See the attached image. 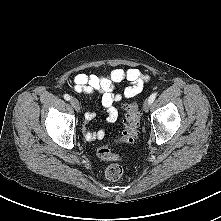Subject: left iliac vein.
I'll list each match as a JSON object with an SVG mask.
<instances>
[{
    "label": "left iliac vein",
    "instance_id": "left-iliac-vein-1",
    "mask_svg": "<svg viewBox=\"0 0 221 221\" xmlns=\"http://www.w3.org/2000/svg\"><path fill=\"white\" fill-rule=\"evenodd\" d=\"M149 107H150V102H149V100H146V101L144 102V104H143V110H144L145 112H148Z\"/></svg>",
    "mask_w": 221,
    "mask_h": 221
}]
</instances>
